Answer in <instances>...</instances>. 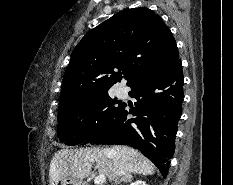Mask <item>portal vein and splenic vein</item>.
<instances>
[{"label": "portal vein and splenic vein", "mask_w": 233, "mask_h": 185, "mask_svg": "<svg viewBox=\"0 0 233 185\" xmlns=\"http://www.w3.org/2000/svg\"><path fill=\"white\" fill-rule=\"evenodd\" d=\"M106 180V177L104 175H98L95 180L94 183L95 185H102Z\"/></svg>", "instance_id": "1"}]
</instances>
